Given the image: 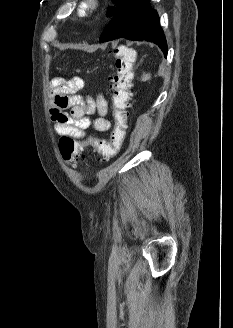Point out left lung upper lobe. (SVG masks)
<instances>
[{
  "mask_svg": "<svg viewBox=\"0 0 233 328\" xmlns=\"http://www.w3.org/2000/svg\"><path fill=\"white\" fill-rule=\"evenodd\" d=\"M127 0H113L115 4L114 7L110 6L109 9H112L111 12L107 13V16H111V19L120 11V9L124 6Z\"/></svg>",
  "mask_w": 233,
  "mask_h": 328,
  "instance_id": "1",
  "label": "left lung upper lobe"
}]
</instances>
